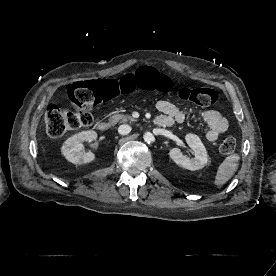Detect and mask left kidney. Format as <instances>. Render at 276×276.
I'll return each mask as SVG.
<instances>
[{"label":"left kidney","mask_w":276,"mask_h":276,"mask_svg":"<svg viewBox=\"0 0 276 276\" xmlns=\"http://www.w3.org/2000/svg\"><path fill=\"white\" fill-rule=\"evenodd\" d=\"M185 140L194 151V158L184 156L179 148H172L169 152L170 158L179 166L195 171L202 169L208 163V154L205 146L197 135L187 134Z\"/></svg>","instance_id":"obj_1"}]
</instances>
